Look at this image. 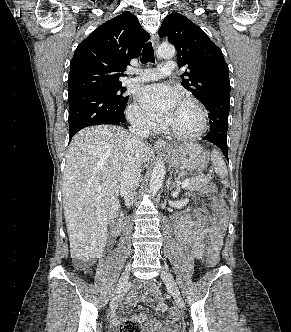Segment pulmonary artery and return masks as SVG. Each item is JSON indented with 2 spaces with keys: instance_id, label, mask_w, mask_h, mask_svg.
<instances>
[{
  "instance_id": "e3ab8cb5",
  "label": "pulmonary artery",
  "mask_w": 291,
  "mask_h": 332,
  "mask_svg": "<svg viewBox=\"0 0 291 332\" xmlns=\"http://www.w3.org/2000/svg\"><path fill=\"white\" fill-rule=\"evenodd\" d=\"M176 64L173 61H168L158 68L144 69L138 76L130 78L129 82H149L159 80L171 75L175 70Z\"/></svg>"
}]
</instances>
